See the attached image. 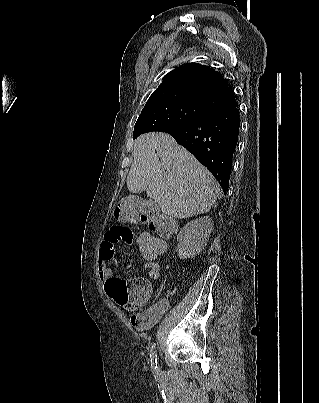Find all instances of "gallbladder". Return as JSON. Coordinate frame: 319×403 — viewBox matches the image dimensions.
<instances>
[{
	"label": "gallbladder",
	"mask_w": 319,
	"mask_h": 403,
	"mask_svg": "<svg viewBox=\"0 0 319 403\" xmlns=\"http://www.w3.org/2000/svg\"><path fill=\"white\" fill-rule=\"evenodd\" d=\"M142 209L148 210L150 212L151 210L158 211L159 207L157 204H155L151 201H146L145 204L143 205Z\"/></svg>",
	"instance_id": "1"
}]
</instances>
